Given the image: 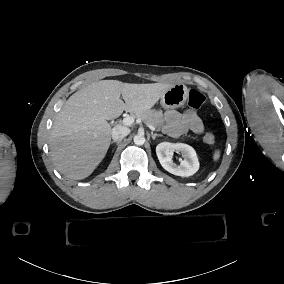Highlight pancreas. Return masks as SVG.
Listing matches in <instances>:
<instances>
[{
  "label": "pancreas",
  "instance_id": "cf45deb5",
  "mask_svg": "<svg viewBox=\"0 0 284 284\" xmlns=\"http://www.w3.org/2000/svg\"><path fill=\"white\" fill-rule=\"evenodd\" d=\"M134 116L141 118L146 124H150L160 131L164 125V118L162 111H156L154 109H146L134 113Z\"/></svg>",
  "mask_w": 284,
  "mask_h": 284
}]
</instances>
